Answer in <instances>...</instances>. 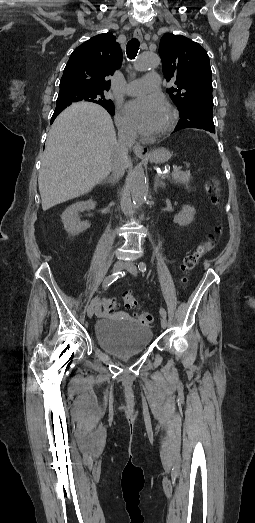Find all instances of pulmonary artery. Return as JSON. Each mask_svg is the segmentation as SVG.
I'll list each match as a JSON object with an SVG mask.
<instances>
[{
    "label": "pulmonary artery",
    "mask_w": 255,
    "mask_h": 523,
    "mask_svg": "<svg viewBox=\"0 0 255 523\" xmlns=\"http://www.w3.org/2000/svg\"><path fill=\"white\" fill-rule=\"evenodd\" d=\"M160 75L156 71L147 74L143 79L134 80L127 84L125 93L133 95L134 99L139 100L143 92H156Z\"/></svg>",
    "instance_id": "obj_1"
}]
</instances>
